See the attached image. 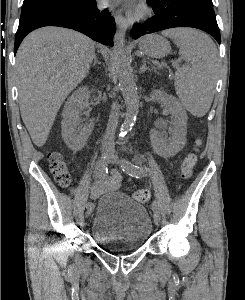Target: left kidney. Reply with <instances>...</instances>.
<instances>
[{
	"mask_svg": "<svg viewBox=\"0 0 245 300\" xmlns=\"http://www.w3.org/2000/svg\"><path fill=\"white\" fill-rule=\"evenodd\" d=\"M154 102H161L171 114L173 128L169 129V137L164 131L155 132L154 143L157 149L166 156L175 155L184 145L187 133V114L180 102L164 91L155 90L150 95Z\"/></svg>",
	"mask_w": 245,
	"mask_h": 300,
	"instance_id": "left-kidney-1",
	"label": "left kidney"
}]
</instances>
